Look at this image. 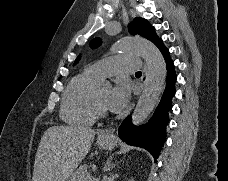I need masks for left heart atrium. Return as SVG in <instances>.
Here are the masks:
<instances>
[{"label": "left heart atrium", "mask_w": 228, "mask_h": 181, "mask_svg": "<svg viewBox=\"0 0 228 181\" xmlns=\"http://www.w3.org/2000/svg\"><path fill=\"white\" fill-rule=\"evenodd\" d=\"M128 94L129 84L125 81H120L110 92L107 101L108 108L114 112L121 111L125 106Z\"/></svg>", "instance_id": "1"}]
</instances>
